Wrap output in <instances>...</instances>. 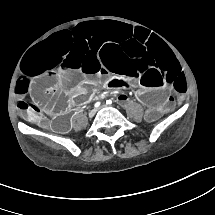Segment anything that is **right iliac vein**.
Wrapping results in <instances>:
<instances>
[{
    "instance_id": "1",
    "label": "right iliac vein",
    "mask_w": 215,
    "mask_h": 215,
    "mask_svg": "<svg viewBox=\"0 0 215 215\" xmlns=\"http://www.w3.org/2000/svg\"><path fill=\"white\" fill-rule=\"evenodd\" d=\"M95 112H96V110H91L90 112H89V117L90 118H92L94 115H95Z\"/></svg>"
}]
</instances>
